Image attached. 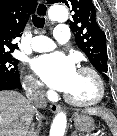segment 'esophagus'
I'll list each match as a JSON object with an SVG mask.
<instances>
[{
  "instance_id": "obj_1",
  "label": "esophagus",
  "mask_w": 117,
  "mask_h": 136,
  "mask_svg": "<svg viewBox=\"0 0 117 136\" xmlns=\"http://www.w3.org/2000/svg\"><path fill=\"white\" fill-rule=\"evenodd\" d=\"M36 13L40 17H45V18L48 17V6L44 1H40L38 3L36 8ZM50 110L54 113H57L61 110V106L53 103L50 105Z\"/></svg>"
}]
</instances>
